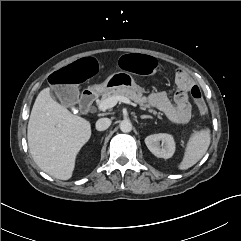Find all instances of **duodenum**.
Here are the masks:
<instances>
[{"instance_id": "duodenum-1", "label": "duodenum", "mask_w": 241, "mask_h": 241, "mask_svg": "<svg viewBox=\"0 0 241 241\" xmlns=\"http://www.w3.org/2000/svg\"><path fill=\"white\" fill-rule=\"evenodd\" d=\"M96 97H97V90L95 89L85 90L80 98V107L82 111L88 112L92 108L96 100Z\"/></svg>"}]
</instances>
